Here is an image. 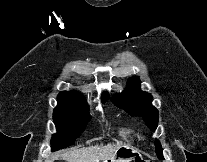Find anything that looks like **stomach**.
<instances>
[{
	"label": "stomach",
	"mask_w": 207,
	"mask_h": 162,
	"mask_svg": "<svg viewBox=\"0 0 207 162\" xmlns=\"http://www.w3.org/2000/svg\"><path fill=\"white\" fill-rule=\"evenodd\" d=\"M105 162H144L142 155L135 149L122 146L115 153L112 159Z\"/></svg>",
	"instance_id": "0dacf381"
}]
</instances>
